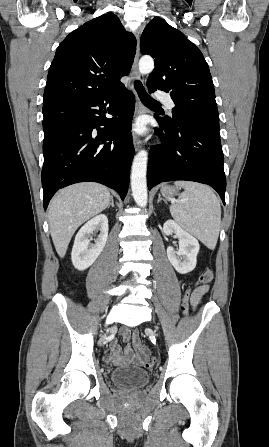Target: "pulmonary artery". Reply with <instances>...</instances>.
Masks as SVG:
<instances>
[{
    "instance_id": "pulmonary-artery-1",
    "label": "pulmonary artery",
    "mask_w": 269,
    "mask_h": 447,
    "mask_svg": "<svg viewBox=\"0 0 269 447\" xmlns=\"http://www.w3.org/2000/svg\"><path fill=\"white\" fill-rule=\"evenodd\" d=\"M155 96L158 99H162L170 110L174 108V103L170 97H167V92L165 90L156 91Z\"/></svg>"
}]
</instances>
